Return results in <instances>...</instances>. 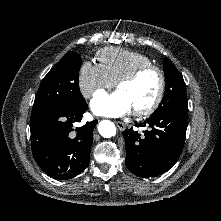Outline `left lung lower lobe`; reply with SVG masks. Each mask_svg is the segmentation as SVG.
<instances>
[{"mask_svg": "<svg viewBox=\"0 0 221 221\" xmlns=\"http://www.w3.org/2000/svg\"><path fill=\"white\" fill-rule=\"evenodd\" d=\"M188 104L181 103L160 114L151 115L137 127L148 126L140 135L133 128L124 131L126 166L139 177H155L168 171L184 146Z\"/></svg>", "mask_w": 221, "mask_h": 221, "instance_id": "0a47b994", "label": "left lung lower lobe"}]
</instances>
